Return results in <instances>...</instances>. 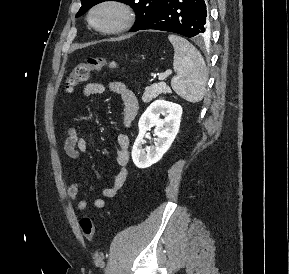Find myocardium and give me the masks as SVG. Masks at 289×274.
<instances>
[{"label":"myocardium","mask_w":289,"mask_h":274,"mask_svg":"<svg viewBox=\"0 0 289 274\" xmlns=\"http://www.w3.org/2000/svg\"><path fill=\"white\" fill-rule=\"evenodd\" d=\"M113 9L118 14V20L109 27H99L93 23V15L100 9ZM88 25L96 32L103 35L119 34L130 29L136 20V13L133 6L123 0H99L93 4L86 16Z\"/></svg>","instance_id":"myocardium-1"}]
</instances>
